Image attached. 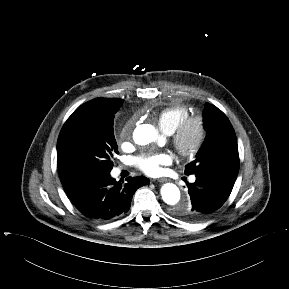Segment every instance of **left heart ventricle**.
<instances>
[{
    "mask_svg": "<svg viewBox=\"0 0 289 289\" xmlns=\"http://www.w3.org/2000/svg\"><path fill=\"white\" fill-rule=\"evenodd\" d=\"M195 136H196V131L194 128H191L188 133H187V142H192L194 139H195Z\"/></svg>",
    "mask_w": 289,
    "mask_h": 289,
    "instance_id": "left-heart-ventricle-1",
    "label": "left heart ventricle"
}]
</instances>
